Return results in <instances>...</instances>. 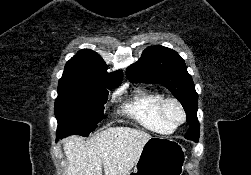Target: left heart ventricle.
<instances>
[{
  "label": "left heart ventricle",
  "mask_w": 251,
  "mask_h": 175,
  "mask_svg": "<svg viewBox=\"0 0 251 175\" xmlns=\"http://www.w3.org/2000/svg\"><path fill=\"white\" fill-rule=\"evenodd\" d=\"M166 113L169 120L168 125L171 127L182 120V112L175 104H169Z\"/></svg>",
  "instance_id": "obj_1"
}]
</instances>
